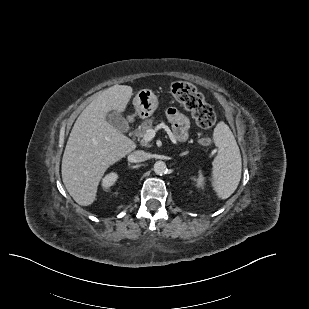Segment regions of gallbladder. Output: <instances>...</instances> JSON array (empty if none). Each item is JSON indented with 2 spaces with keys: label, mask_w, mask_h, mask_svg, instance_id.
<instances>
[{
  "label": "gallbladder",
  "mask_w": 309,
  "mask_h": 309,
  "mask_svg": "<svg viewBox=\"0 0 309 309\" xmlns=\"http://www.w3.org/2000/svg\"><path fill=\"white\" fill-rule=\"evenodd\" d=\"M106 120L115 127L119 132H126L129 128L128 123L123 118V116L117 111H110L107 116Z\"/></svg>",
  "instance_id": "gallbladder-1"
}]
</instances>
